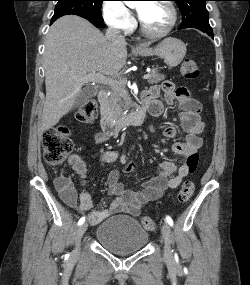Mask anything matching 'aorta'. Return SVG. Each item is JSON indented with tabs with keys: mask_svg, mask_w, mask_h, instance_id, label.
<instances>
[{
	"mask_svg": "<svg viewBox=\"0 0 250 285\" xmlns=\"http://www.w3.org/2000/svg\"><path fill=\"white\" fill-rule=\"evenodd\" d=\"M127 4H130L131 2H126Z\"/></svg>",
	"mask_w": 250,
	"mask_h": 285,
	"instance_id": "762f6f07",
	"label": "aorta"
}]
</instances>
